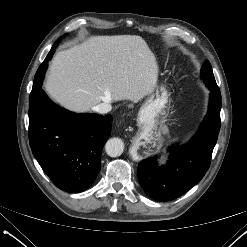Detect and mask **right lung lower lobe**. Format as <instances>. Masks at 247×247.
I'll list each match as a JSON object with an SVG mask.
<instances>
[{"mask_svg": "<svg viewBox=\"0 0 247 247\" xmlns=\"http://www.w3.org/2000/svg\"><path fill=\"white\" fill-rule=\"evenodd\" d=\"M111 121V115L75 114L60 108L42 89L29 101L30 147L58 188L78 193L93 184Z\"/></svg>", "mask_w": 247, "mask_h": 247, "instance_id": "98d812e1", "label": "right lung lower lobe"}]
</instances>
